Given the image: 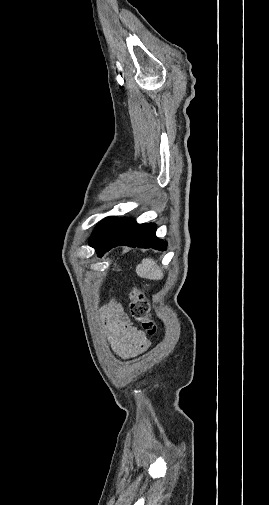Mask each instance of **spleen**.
Here are the masks:
<instances>
[{"instance_id": "3e777b00", "label": "spleen", "mask_w": 269, "mask_h": 505, "mask_svg": "<svg viewBox=\"0 0 269 505\" xmlns=\"http://www.w3.org/2000/svg\"><path fill=\"white\" fill-rule=\"evenodd\" d=\"M136 273L139 277L150 280H161L164 276L163 271L152 258L143 259L136 267Z\"/></svg>"}]
</instances>
